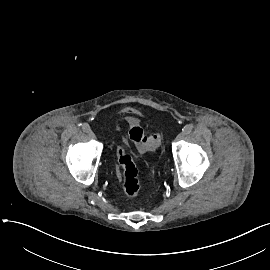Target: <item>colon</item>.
<instances>
[{
  "label": "colon",
  "mask_w": 270,
  "mask_h": 270,
  "mask_svg": "<svg viewBox=\"0 0 270 270\" xmlns=\"http://www.w3.org/2000/svg\"><path fill=\"white\" fill-rule=\"evenodd\" d=\"M128 135L140 152L155 150L162 142L161 133H145L142 126L136 121L130 123ZM116 156L118 162L117 173L122 185L123 194L128 199H136L141 193V186L138 180L137 168L126 149L125 142L119 144Z\"/></svg>",
  "instance_id": "5ec220e1"
}]
</instances>
